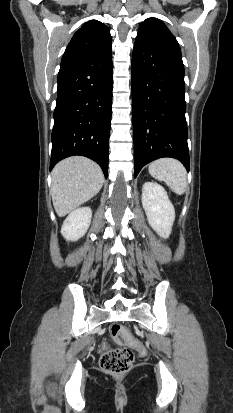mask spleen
<instances>
[{
    "label": "spleen",
    "mask_w": 233,
    "mask_h": 413,
    "mask_svg": "<svg viewBox=\"0 0 233 413\" xmlns=\"http://www.w3.org/2000/svg\"><path fill=\"white\" fill-rule=\"evenodd\" d=\"M149 173L159 181H164L178 195L185 193L187 176L184 166L178 160L161 158L149 165Z\"/></svg>",
    "instance_id": "spleen-1"
}]
</instances>
